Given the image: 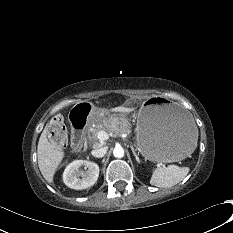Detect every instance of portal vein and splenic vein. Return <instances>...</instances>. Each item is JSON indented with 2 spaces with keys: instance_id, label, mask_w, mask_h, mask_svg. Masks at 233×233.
I'll list each match as a JSON object with an SVG mask.
<instances>
[{
  "instance_id": "18ae733b",
  "label": "portal vein and splenic vein",
  "mask_w": 233,
  "mask_h": 233,
  "mask_svg": "<svg viewBox=\"0 0 233 233\" xmlns=\"http://www.w3.org/2000/svg\"><path fill=\"white\" fill-rule=\"evenodd\" d=\"M109 137H110V135L104 130L99 131L97 134V138L100 141H106L107 139H109Z\"/></svg>"
}]
</instances>
